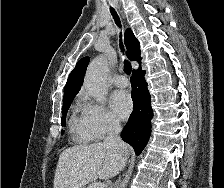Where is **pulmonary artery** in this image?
<instances>
[{
    "mask_svg": "<svg viewBox=\"0 0 224 188\" xmlns=\"http://www.w3.org/2000/svg\"><path fill=\"white\" fill-rule=\"evenodd\" d=\"M114 84L117 87L124 88V87L128 86L129 82H128V79L126 78V76L119 75L114 79Z\"/></svg>",
    "mask_w": 224,
    "mask_h": 188,
    "instance_id": "e3ab8cb5",
    "label": "pulmonary artery"
}]
</instances>
